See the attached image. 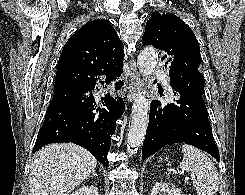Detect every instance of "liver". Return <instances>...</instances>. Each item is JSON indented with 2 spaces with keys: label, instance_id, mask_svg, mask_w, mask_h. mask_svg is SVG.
<instances>
[{
  "label": "liver",
  "instance_id": "obj_1",
  "mask_svg": "<svg viewBox=\"0 0 245 195\" xmlns=\"http://www.w3.org/2000/svg\"><path fill=\"white\" fill-rule=\"evenodd\" d=\"M97 160L73 143H54L40 149L31 165V195H69L91 173Z\"/></svg>",
  "mask_w": 245,
  "mask_h": 195
}]
</instances>
